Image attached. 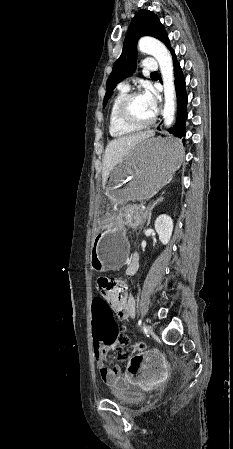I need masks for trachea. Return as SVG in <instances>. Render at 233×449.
Wrapping results in <instances>:
<instances>
[{
	"mask_svg": "<svg viewBox=\"0 0 233 449\" xmlns=\"http://www.w3.org/2000/svg\"><path fill=\"white\" fill-rule=\"evenodd\" d=\"M157 74H158V72H157V71H155V72L151 73V75H157Z\"/></svg>",
	"mask_w": 233,
	"mask_h": 449,
	"instance_id": "3493384b",
	"label": "trachea"
}]
</instances>
